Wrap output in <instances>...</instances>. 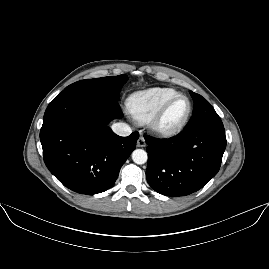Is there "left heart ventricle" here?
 Returning a JSON list of instances; mask_svg holds the SVG:
<instances>
[{"label":"left heart ventricle","instance_id":"left-heart-ventricle-1","mask_svg":"<svg viewBox=\"0 0 269 269\" xmlns=\"http://www.w3.org/2000/svg\"><path fill=\"white\" fill-rule=\"evenodd\" d=\"M187 107L188 103L186 99H178L169 109L164 119V126L168 128L176 126L183 119Z\"/></svg>","mask_w":269,"mask_h":269}]
</instances>
